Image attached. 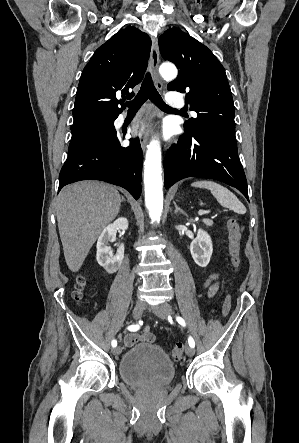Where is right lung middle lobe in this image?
<instances>
[{
	"instance_id": "obj_1",
	"label": "right lung middle lobe",
	"mask_w": 299,
	"mask_h": 443,
	"mask_svg": "<svg viewBox=\"0 0 299 443\" xmlns=\"http://www.w3.org/2000/svg\"><path fill=\"white\" fill-rule=\"evenodd\" d=\"M115 132L112 116L94 117L74 123L68 155H72L89 143L107 138Z\"/></svg>"
}]
</instances>
